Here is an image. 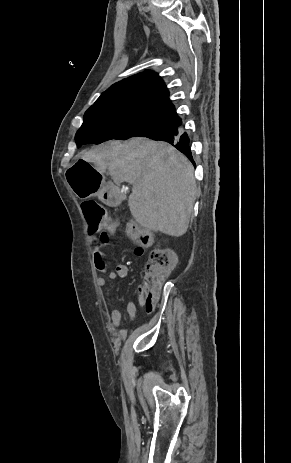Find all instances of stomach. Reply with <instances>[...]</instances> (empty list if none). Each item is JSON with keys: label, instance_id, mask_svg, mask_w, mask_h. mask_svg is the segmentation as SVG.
<instances>
[{"label": "stomach", "instance_id": "obj_1", "mask_svg": "<svg viewBox=\"0 0 291 463\" xmlns=\"http://www.w3.org/2000/svg\"><path fill=\"white\" fill-rule=\"evenodd\" d=\"M65 182L70 184L78 198L85 199L97 195L105 204L112 205L117 202L116 188L106 184L102 174L87 163L84 157H79L77 164L67 170Z\"/></svg>", "mask_w": 291, "mask_h": 463}]
</instances>
